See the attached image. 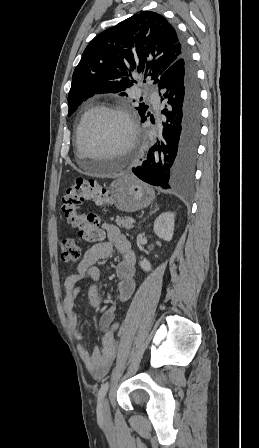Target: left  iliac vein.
Returning <instances> with one entry per match:
<instances>
[{
  "mask_svg": "<svg viewBox=\"0 0 259 448\" xmlns=\"http://www.w3.org/2000/svg\"><path fill=\"white\" fill-rule=\"evenodd\" d=\"M101 416L104 422H109L110 420V408L108 399H104L101 405Z\"/></svg>",
  "mask_w": 259,
  "mask_h": 448,
  "instance_id": "4c4485c4",
  "label": "left iliac vein"
}]
</instances>
